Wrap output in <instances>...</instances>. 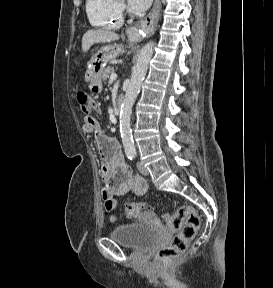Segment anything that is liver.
I'll return each mask as SVG.
<instances>
[{"instance_id":"1","label":"liver","mask_w":273,"mask_h":288,"mask_svg":"<svg viewBox=\"0 0 273 288\" xmlns=\"http://www.w3.org/2000/svg\"><path fill=\"white\" fill-rule=\"evenodd\" d=\"M119 38V35L112 31L104 29L88 30L82 37V51L87 52L96 43H107Z\"/></svg>"}]
</instances>
